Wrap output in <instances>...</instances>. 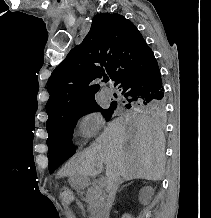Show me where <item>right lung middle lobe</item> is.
<instances>
[{
    "label": "right lung middle lobe",
    "mask_w": 211,
    "mask_h": 218,
    "mask_svg": "<svg viewBox=\"0 0 211 218\" xmlns=\"http://www.w3.org/2000/svg\"><path fill=\"white\" fill-rule=\"evenodd\" d=\"M118 107L127 109H136L146 107L154 111L162 112L165 110V99H143L128 98L120 101H113L109 109L102 110L107 120L110 119L113 111ZM101 108L95 100L87 102L74 111L60 118L57 123L48 131L49 137L47 145L49 148V172L53 173L66 159L73 155L72 134L77 119L93 111H99Z\"/></svg>",
    "instance_id": "right-lung-middle-lobe-1"
}]
</instances>
